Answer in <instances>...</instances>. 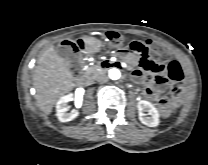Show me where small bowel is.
Masks as SVG:
<instances>
[{
    "mask_svg": "<svg viewBox=\"0 0 208 165\" xmlns=\"http://www.w3.org/2000/svg\"><path fill=\"white\" fill-rule=\"evenodd\" d=\"M125 64L132 68L138 62L136 53L124 55ZM188 72L181 61H167L160 68L153 70L148 76L142 70H135L133 78L147 85L144 95L157 100L163 92L164 86L172 83L174 86H183L188 81Z\"/></svg>",
    "mask_w": 208,
    "mask_h": 165,
    "instance_id": "small-bowel-1",
    "label": "small bowel"
}]
</instances>
